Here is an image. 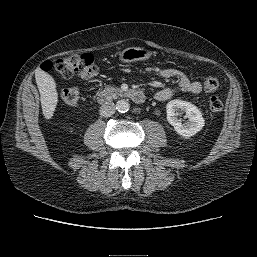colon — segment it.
Returning <instances> with one entry per match:
<instances>
[{
	"instance_id": "5ec220e1",
	"label": "colon",
	"mask_w": 257,
	"mask_h": 257,
	"mask_svg": "<svg viewBox=\"0 0 257 257\" xmlns=\"http://www.w3.org/2000/svg\"><path fill=\"white\" fill-rule=\"evenodd\" d=\"M43 68L47 71H55L64 79L71 78L74 75H80L84 78L91 79L97 74L94 58L88 53L62 57L55 61H48ZM203 84L204 90L207 93H214L219 87L217 78L212 76L205 78ZM81 97L80 91L75 88L64 89L61 93L62 100L69 105L77 104L81 100ZM209 109L213 113L220 112L223 109L222 100L218 96L212 95L209 99Z\"/></svg>"
}]
</instances>
